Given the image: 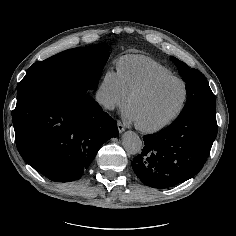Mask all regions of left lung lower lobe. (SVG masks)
Wrapping results in <instances>:
<instances>
[{
	"instance_id": "0a47b994",
	"label": "left lung lower lobe",
	"mask_w": 236,
	"mask_h": 236,
	"mask_svg": "<svg viewBox=\"0 0 236 236\" xmlns=\"http://www.w3.org/2000/svg\"><path fill=\"white\" fill-rule=\"evenodd\" d=\"M216 112L190 110L167 128L143 136L145 146L132 162L138 178L153 188H168L195 176L217 135Z\"/></svg>"
}]
</instances>
